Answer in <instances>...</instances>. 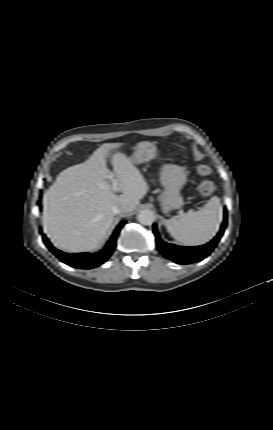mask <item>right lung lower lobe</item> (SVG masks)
Returning a JSON list of instances; mask_svg holds the SVG:
<instances>
[{"label":"right lung lower lobe","instance_id":"1","mask_svg":"<svg viewBox=\"0 0 273 430\" xmlns=\"http://www.w3.org/2000/svg\"><path fill=\"white\" fill-rule=\"evenodd\" d=\"M125 222L126 221H122L117 226L115 232L113 233L111 239L108 241L104 249L94 254H68L54 248L45 235H43L42 238L49 250L63 263L75 268L92 269L104 263L111 256L116 246L117 236ZM40 233H42V231H40Z\"/></svg>","mask_w":273,"mask_h":430}]
</instances>
